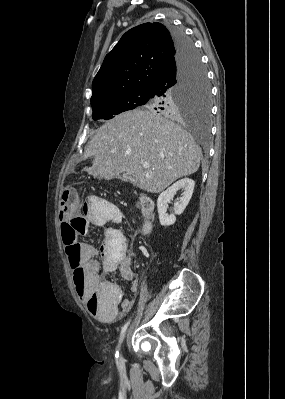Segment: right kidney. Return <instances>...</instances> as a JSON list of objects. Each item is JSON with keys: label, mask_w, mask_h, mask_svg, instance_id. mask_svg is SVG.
Wrapping results in <instances>:
<instances>
[{"label": "right kidney", "mask_w": 285, "mask_h": 399, "mask_svg": "<svg viewBox=\"0 0 285 399\" xmlns=\"http://www.w3.org/2000/svg\"><path fill=\"white\" fill-rule=\"evenodd\" d=\"M194 186L195 182L192 179L184 178L174 183L171 187L159 195L157 199V209L159 221L162 226L173 225L176 221L175 215H180L183 213L192 197ZM179 190H184L183 195L180 197L179 201L174 204V214L168 215L166 213L168 202L173 199L174 195Z\"/></svg>", "instance_id": "ca27d5eb"}]
</instances>
